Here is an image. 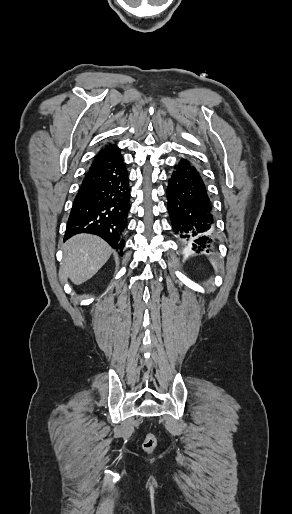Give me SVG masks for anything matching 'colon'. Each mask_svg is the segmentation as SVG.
I'll list each match as a JSON object with an SVG mask.
<instances>
[{"mask_svg":"<svg viewBox=\"0 0 292 514\" xmlns=\"http://www.w3.org/2000/svg\"><path fill=\"white\" fill-rule=\"evenodd\" d=\"M156 443H157L156 435L153 432H148L142 443V449L146 453H152L155 450Z\"/></svg>","mask_w":292,"mask_h":514,"instance_id":"5ec220e1","label":"colon"}]
</instances>
